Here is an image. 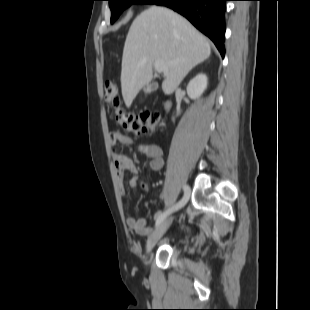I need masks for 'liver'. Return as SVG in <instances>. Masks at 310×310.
I'll return each instance as SVG.
<instances>
[{"label": "liver", "mask_w": 310, "mask_h": 310, "mask_svg": "<svg viewBox=\"0 0 310 310\" xmlns=\"http://www.w3.org/2000/svg\"><path fill=\"white\" fill-rule=\"evenodd\" d=\"M210 54L207 39L182 16L164 7L144 10L134 19L123 49L121 89L126 107L151 82L156 61L168 65L162 90L170 95Z\"/></svg>", "instance_id": "6515ba94"}]
</instances>
